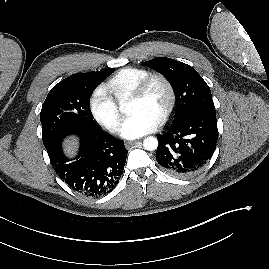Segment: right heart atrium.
I'll use <instances>...</instances> for the list:
<instances>
[{"label":"right heart atrium","instance_id":"d8ad5b80","mask_svg":"<svg viewBox=\"0 0 269 269\" xmlns=\"http://www.w3.org/2000/svg\"><path fill=\"white\" fill-rule=\"evenodd\" d=\"M89 108L94 119L112 133L120 128L121 114L105 86H97L90 95Z\"/></svg>","mask_w":269,"mask_h":269}]
</instances>
